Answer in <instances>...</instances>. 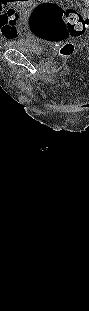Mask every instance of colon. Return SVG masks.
<instances>
[{"label": "colon", "mask_w": 89, "mask_h": 311, "mask_svg": "<svg viewBox=\"0 0 89 311\" xmlns=\"http://www.w3.org/2000/svg\"><path fill=\"white\" fill-rule=\"evenodd\" d=\"M15 11L8 9L2 14L4 25L19 29L15 20ZM88 27V15L76 8H67L53 1L37 5L29 20L30 30L39 38L50 42H64L61 53L69 55L74 51V44L66 42L69 37H79ZM11 33V31H10Z\"/></svg>", "instance_id": "obj_1"}]
</instances>
